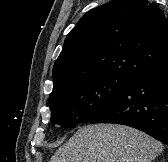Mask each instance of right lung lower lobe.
<instances>
[{
  "mask_svg": "<svg viewBox=\"0 0 168 162\" xmlns=\"http://www.w3.org/2000/svg\"><path fill=\"white\" fill-rule=\"evenodd\" d=\"M90 123L127 125L168 145V62L133 77Z\"/></svg>",
  "mask_w": 168,
  "mask_h": 162,
  "instance_id": "right-lung-lower-lobe-1",
  "label": "right lung lower lobe"
}]
</instances>
